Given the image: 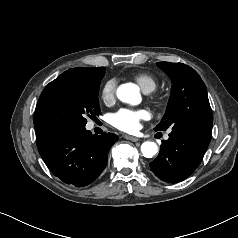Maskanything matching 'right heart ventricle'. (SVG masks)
Here are the masks:
<instances>
[{
    "label": "right heart ventricle",
    "instance_id": "1",
    "mask_svg": "<svg viewBox=\"0 0 238 238\" xmlns=\"http://www.w3.org/2000/svg\"><path fill=\"white\" fill-rule=\"evenodd\" d=\"M133 79L137 82L140 88L146 93L152 92L157 87V79L151 73L138 72L133 75Z\"/></svg>",
    "mask_w": 238,
    "mask_h": 238
}]
</instances>
